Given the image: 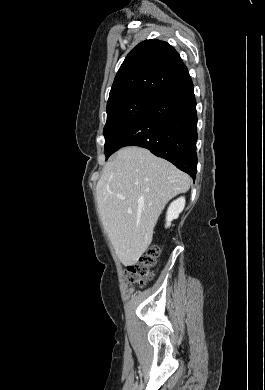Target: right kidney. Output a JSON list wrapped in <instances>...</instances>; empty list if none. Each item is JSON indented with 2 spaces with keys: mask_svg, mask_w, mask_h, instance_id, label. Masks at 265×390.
<instances>
[{
  "mask_svg": "<svg viewBox=\"0 0 265 390\" xmlns=\"http://www.w3.org/2000/svg\"><path fill=\"white\" fill-rule=\"evenodd\" d=\"M185 207V198L180 197L177 200H174L168 210L166 215V227H170L171 222L174 219H177L179 217V214L183 211Z\"/></svg>",
  "mask_w": 265,
  "mask_h": 390,
  "instance_id": "1",
  "label": "right kidney"
}]
</instances>
